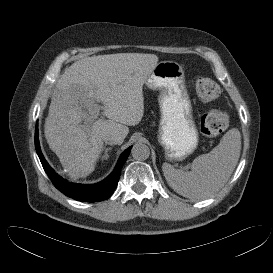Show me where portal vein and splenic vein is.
Here are the masks:
<instances>
[{
	"label": "portal vein and splenic vein",
	"mask_w": 273,
	"mask_h": 273,
	"mask_svg": "<svg viewBox=\"0 0 273 273\" xmlns=\"http://www.w3.org/2000/svg\"><path fill=\"white\" fill-rule=\"evenodd\" d=\"M99 110H100V107H95L90 110V114H91L93 120H96L98 118ZM83 126L86 128L90 127V125L88 124V121H85Z\"/></svg>",
	"instance_id": "18ae733b"
}]
</instances>
